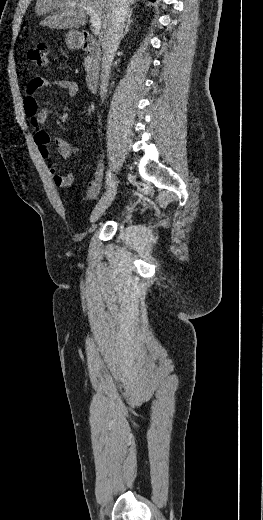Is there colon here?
Returning <instances> with one entry per match:
<instances>
[{
  "instance_id": "1",
  "label": "colon",
  "mask_w": 263,
  "mask_h": 520,
  "mask_svg": "<svg viewBox=\"0 0 263 520\" xmlns=\"http://www.w3.org/2000/svg\"><path fill=\"white\" fill-rule=\"evenodd\" d=\"M27 56L37 66L45 67L48 64L49 45L46 43H39L37 46L28 50Z\"/></svg>"
}]
</instances>
